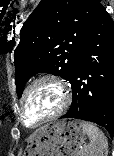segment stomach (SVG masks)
Segmentation results:
<instances>
[{
	"instance_id": "1",
	"label": "stomach",
	"mask_w": 114,
	"mask_h": 156,
	"mask_svg": "<svg viewBox=\"0 0 114 156\" xmlns=\"http://www.w3.org/2000/svg\"><path fill=\"white\" fill-rule=\"evenodd\" d=\"M79 120L44 125L29 139L23 156H80L85 133Z\"/></svg>"
}]
</instances>
